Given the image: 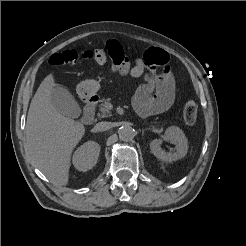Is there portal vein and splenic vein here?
Wrapping results in <instances>:
<instances>
[{
  "instance_id": "portal-vein-and-splenic-vein-1",
  "label": "portal vein and splenic vein",
  "mask_w": 246,
  "mask_h": 246,
  "mask_svg": "<svg viewBox=\"0 0 246 246\" xmlns=\"http://www.w3.org/2000/svg\"><path fill=\"white\" fill-rule=\"evenodd\" d=\"M109 109H112V105H109Z\"/></svg>"
}]
</instances>
